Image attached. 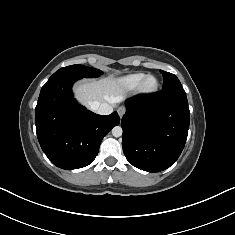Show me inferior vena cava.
Instances as JSON below:
<instances>
[{"label": "inferior vena cava", "mask_w": 235, "mask_h": 235, "mask_svg": "<svg viewBox=\"0 0 235 235\" xmlns=\"http://www.w3.org/2000/svg\"><path fill=\"white\" fill-rule=\"evenodd\" d=\"M90 108L100 115H109L113 112V107L108 103L99 104L95 101L90 105Z\"/></svg>", "instance_id": "inferior-vena-cava-1"}]
</instances>
